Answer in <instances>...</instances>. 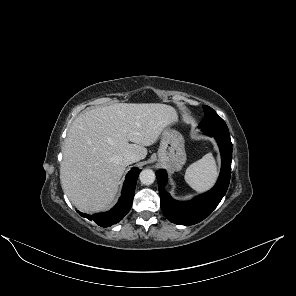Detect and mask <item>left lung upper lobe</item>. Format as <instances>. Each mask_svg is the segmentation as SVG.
<instances>
[{
    "label": "left lung upper lobe",
    "instance_id": "left-lung-upper-lobe-1",
    "mask_svg": "<svg viewBox=\"0 0 296 296\" xmlns=\"http://www.w3.org/2000/svg\"><path fill=\"white\" fill-rule=\"evenodd\" d=\"M205 117L199 124V128H227L224 120L209 106H203Z\"/></svg>",
    "mask_w": 296,
    "mask_h": 296
}]
</instances>
